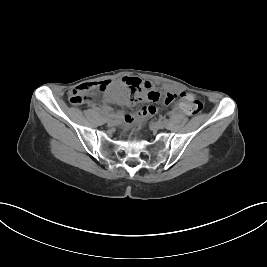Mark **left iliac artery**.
I'll use <instances>...</instances> for the list:
<instances>
[{"mask_svg": "<svg viewBox=\"0 0 267 267\" xmlns=\"http://www.w3.org/2000/svg\"><path fill=\"white\" fill-rule=\"evenodd\" d=\"M162 120H163L164 123L168 122V119H166V118H163Z\"/></svg>", "mask_w": 267, "mask_h": 267, "instance_id": "obj_1", "label": "left iliac artery"}]
</instances>
